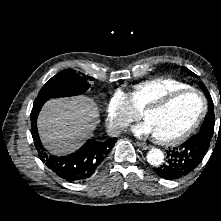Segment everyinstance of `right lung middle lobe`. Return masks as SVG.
Instances as JSON below:
<instances>
[{
	"mask_svg": "<svg viewBox=\"0 0 221 221\" xmlns=\"http://www.w3.org/2000/svg\"><path fill=\"white\" fill-rule=\"evenodd\" d=\"M88 79L92 80L91 77H88ZM90 86L85 75L84 77H80L72 69L63 70L53 76L42 87L35 101L79 95L84 93Z\"/></svg>",
	"mask_w": 221,
	"mask_h": 221,
	"instance_id": "dd1d6c3e",
	"label": "right lung middle lobe"
}]
</instances>
